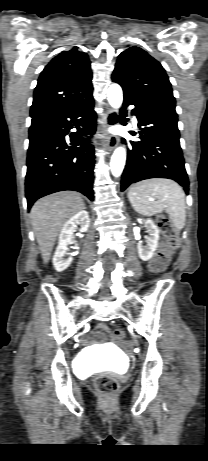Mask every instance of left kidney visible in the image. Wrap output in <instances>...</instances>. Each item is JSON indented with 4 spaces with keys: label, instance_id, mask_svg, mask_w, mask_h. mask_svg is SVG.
Returning a JSON list of instances; mask_svg holds the SVG:
<instances>
[{
    "label": "left kidney",
    "instance_id": "1",
    "mask_svg": "<svg viewBox=\"0 0 208 461\" xmlns=\"http://www.w3.org/2000/svg\"><path fill=\"white\" fill-rule=\"evenodd\" d=\"M145 227L147 229L148 236L146 238V245L142 242L137 244L138 254L141 260L148 261L152 258L154 252L158 246L159 230L152 219L145 220Z\"/></svg>",
    "mask_w": 208,
    "mask_h": 461
}]
</instances>
